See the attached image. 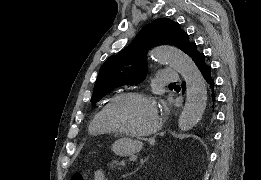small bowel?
I'll return each instance as SVG.
<instances>
[{
    "instance_id": "obj_1",
    "label": "small bowel",
    "mask_w": 261,
    "mask_h": 180,
    "mask_svg": "<svg viewBox=\"0 0 261 180\" xmlns=\"http://www.w3.org/2000/svg\"><path fill=\"white\" fill-rule=\"evenodd\" d=\"M95 179L96 180H103L104 179V175L101 171H96L95 172Z\"/></svg>"
}]
</instances>
